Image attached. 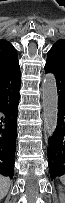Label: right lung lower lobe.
Instances as JSON below:
<instances>
[{
	"label": "right lung lower lobe",
	"instance_id": "right-lung-lower-lobe-1",
	"mask_svg": "<svg viewBox=\"0 0 65 203\" xmlns=\"http://www.w3.org/2000/svg\"><path fill=\"white\" fill-rule=\"evenodd\" d=\"M20 69L0 72V174L13 178Z\"/></svg>",
	"mask_w": 65,
	"mask_h": 203
}]
</instances>
